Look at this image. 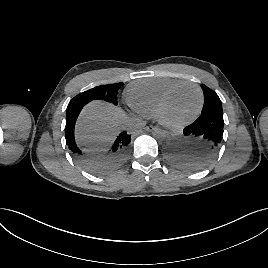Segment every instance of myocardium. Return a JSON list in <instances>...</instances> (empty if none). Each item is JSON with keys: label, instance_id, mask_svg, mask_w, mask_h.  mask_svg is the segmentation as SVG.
Segmentation results:
<instances>
[{"label": "myocardium", "instance_id": "obj_1", "mask_svg": "<svg viewBox=\"0 0 268 268\" xmlns=\"http://www.w3.org/2000/svg\"><path fill=\"white\" fill-rule=\"evenodd\" d=\"M186 86H192L194 87L199 94V104L198 107L196 109V111L188 118L181 120L179 122H170L167 121L164 117H163V112L164 109L168 103V101L170 100V98L174 95L175 92H177L179 89L186 87ZM203 104H204V93L201 89V87L193 82H182L179 83L175 86H173L172 88H170L165 94L164 96L161 98L158 106H157V110H156V119L157 121L164 127L169 128L171 130H179L182 129L183 127L187 126L188 124H190L191 122H193L198 115L200 114L202 108H203Z\"/></svg>", "mask_w": 268, "mask_h": 268}]
</instances>
